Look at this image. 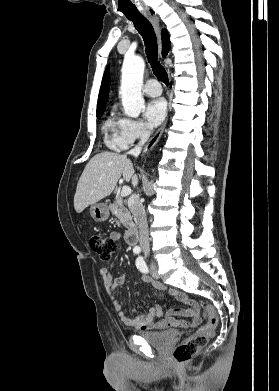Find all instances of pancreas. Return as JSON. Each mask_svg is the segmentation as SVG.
Segmentation results:
<instances>
[{
	"label": "pancreas",
	"mask_w": 279,
	"mask_h": 391,
	"mask_svg": "<svg viewBox=\"0 0 279 391\" xmlns=\"http://www.w3.org/2000/svg\"><path fill=\"white\" fill-rule=\"evenodd\" d=\"M112 215H114L118 221V224H123L125 227H131L133 225L132 217L129 210L124 206L123 199L117 197L113 204L109 206Z\"/></svg>",
	"instance_id": "obj_1"
}]
</instances>
